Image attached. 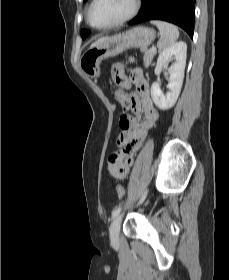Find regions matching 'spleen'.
I'll list each match as a JSON object with an SVG mask.
<instances>
[{"label": "spleen", "mask_w": 229, "mask_h": 280, "mask_svg": "<svg viewBox=\"0 0 229 280\" xmlns=\"http://www.w3.org/2000/svg\"><path fill=\"white\" fill-rule=\"evenodd\" d=\"M151 23L156 25L160 31V39L157 43V47L160 50H165L176 42L179 37V31L175 25L158 20H153Z\"/></svg>", "instance_id": "1"}]
</instances>
